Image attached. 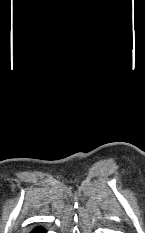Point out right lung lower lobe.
I'll use <instances>...</instances> for the list:
<instances>
[{
  "label": "right lung lower lobe",
  "instance_id": "1",
  "mask_svg": "<svg viewBox=\"0 0 145 233\" xmlns=\"http://www.w3.org/2000/svg\"><path fill=\"white\" fill-rule=\"evenodd\" d=\"M32 233H46V230L41 226H36L33 228Z\"/></svg>",
  "mask_w": 145,
  "mask_h": 233
}]
</instances>
